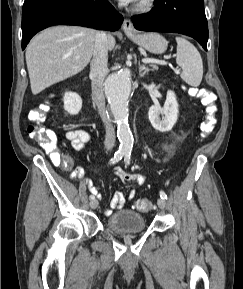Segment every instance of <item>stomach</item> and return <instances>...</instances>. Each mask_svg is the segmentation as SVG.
<instances>
[{
	"label": "stomach",
	"mask_w": 243,
	"mask_h": 289,
	"mask_svg": "<svg viewBox=\"0 0 243 289\" xmlns=\"http://www.w3.org/2000/svg\"><path fill=\"white\" fill-rule=\"evenodd\" d=\"M134 43L143 47L147 51L160 54L166 51L168 42L159 33H140V34H127Z\"/></svg>",
	"instance_id": "obj_1"
}]
</instances>
